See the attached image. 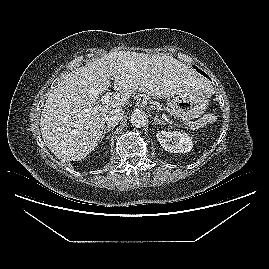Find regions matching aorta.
Segmentation results:
<instances>
[{
  "label": "aorta",
  "mask_w": 269,
  "mask_h": 269,
  "mask_svg": "<svg viewBox=\"0 0 269 269\" xmlns=\"http://www.w3.org/2000/svg\"><path fill=\"white\" fill-rule=\"evenodd\" d=\"M130 122L134 127L140 128L146 125L147 118L144 112L135 111L130 116Z\"/></svg>",
  "instance_id": "obj_1"
}]
</instances>
